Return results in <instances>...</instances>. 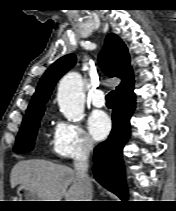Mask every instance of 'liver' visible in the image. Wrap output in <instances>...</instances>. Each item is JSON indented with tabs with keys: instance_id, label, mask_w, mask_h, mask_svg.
<instances>
[{
	"instance_id": "obj_1",
	"label": "liver",
	"mask_w": 176,
	"mask_h": 211,
	"mask_svg": "<svg viewBox=\"0 0 176 211\" xmlns=\"http://www.w3.org/2000/svg\"><path fill=\"white\" fill-rule=\"evenodd\" d=\"M11 188L23 185L42 201H83L84 191L76 171L46 160L18 162L10 174Z\"/></svg>"
}]
</instances>
